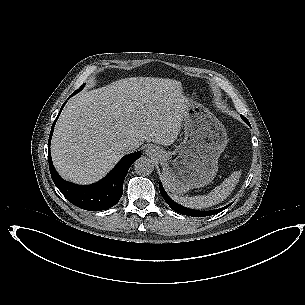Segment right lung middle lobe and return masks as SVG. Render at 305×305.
<instances>
[{
    "instance_id": "1",
    "label": "right lung middle lobe",
    "mask_w": 305,
    "mask_h": 305,
    "mask_svg": "<svg viewBox=\"0 0 305 305\" xmlns=\"http://www.w3.org/2000/svg\"><path fill=\"white\" fill-rule=\"evenodd\" d=\"M84 85H85V84H83V85L80 87V89L77 90L75 93L79 92V91L84 87ZM75 93H74V94H75Z\"/></svg>"
}]
</instances>
